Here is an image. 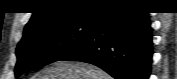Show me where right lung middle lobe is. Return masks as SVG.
<instances>
[{
	"label": "right lung middle lobe",
	"mask_w": 177,
	"mask_h": 79,
	"mask_svg": "<svg viewBox=\"0 0 177 79\" xmlns=\"http://www.w3.org/2000/svg\"><path fill=\"white\" fill-rule=\"evenodd\" d=\"M98 17L52 24L25 34L16 50L15 76L60 60L87 39Z\"/></svg>",
	"instance_id": "1"
}]
</instances>
